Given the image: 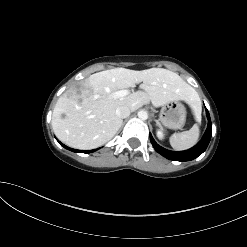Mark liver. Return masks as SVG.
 Returning a JSON list of instances; mask_svg holds the SVG:
<instances>
[{"label":"liver","instance_id":"6515ba94","mask_svg":"<svg viewBox=\"0 0 247 247\" xmlns=\"http://www.w3.org/2000/svg\"><path fill=\"white\" fill-rule=\"evenodd\" d=\"M141 82L143 90L114 98L116 91ZM179 100L194 105L199 98L177 73L163 68H114L92 74L80 83L79 89L74 87L63 93L53 110L52 128L68 146L93 149L111 140L121 127L117 107L128 106L133 112L150 102L160 107Z\"/></svg>","mask_w":247,"mask_h":247}]
</instances>
